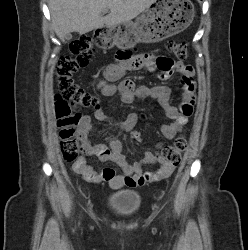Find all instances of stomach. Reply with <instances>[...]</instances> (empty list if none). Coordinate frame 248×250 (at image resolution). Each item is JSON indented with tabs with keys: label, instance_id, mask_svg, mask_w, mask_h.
Listing matches in <instances>:
<instances>
[{
	"label": "stomach",
	"instance_id": "stomach-1",
	"mask_svg": "<svg viewBox=\"0 0 248 250\" xmlns=\"http://www.w3.org/2000/svg\"><path fill=\"white\" fill-rule=\"evenodd\" d=\"M154 7L145 10L136 20L107 26L103 35L106 47L130 49L138 43H157L185 30L195 16L190 0H156Z\"/></svg>",
	"mask_w": 248,
	"mask_h": 250
}]
</instances>
